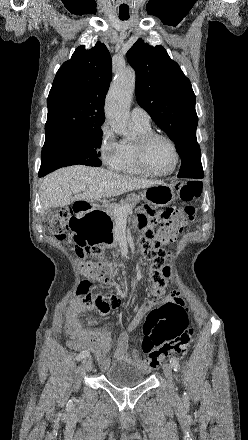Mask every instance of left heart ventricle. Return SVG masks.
<instances>
[{
    "label": "left heart ventricle",
    "mask_w": 248,
    "mask_h": 440,
    "mask_svg": "<svg viewBox=\"0 0 248 440\" xmlns=\"http://www.w3.org/2000/svg\"><path fill=\"white\" fill-rule=\"evenodd\" d=\"M147 162L155 172L170 170L174 163V153L171 145L163 139L154 140L148 148Z\"/></svg>",
    "instance_id": "b2bd125f"
}]
</instances>
